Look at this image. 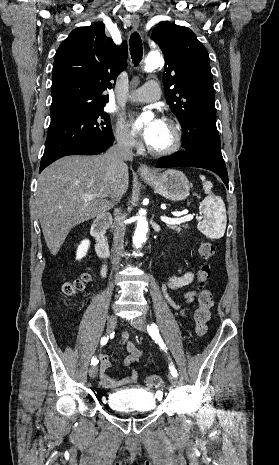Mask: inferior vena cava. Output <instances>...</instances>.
I'll list each match as a JSON object with an SVG mask.
<instances>
[{"label": "inferior vena cava", "instance_id": "obj_1", "mask_svg": "<svg viewBox=\"0 0 279 465\" xmlns=\"http://www.w3.org/2000/svg\"><path fill=\"white\" fill-rule=\"evenodd\" d=\"M106 159L110 163V166L116 170L126 168L127 165L125 161H131L133 159L132 145L129 139L125 136H120L117 138V144L113 145L105 154ZM118 197V199H120ZM114 237H113V249L115 256L113 257L112 264L117 270L120 257L119 253L124 248V235H125V225L123 223V217L120 209H115L114 212Z\"/></svg>", "mask_w": 279, "mask_h": 465}]
</instances>
